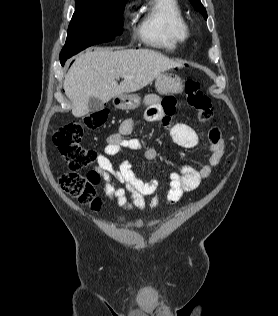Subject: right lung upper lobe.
<instances>
[{"label": "right lung upper lobe", "mask_w": 278, "mask_h": 316, "mask_svg": "<svg viewBox=\"0 0 278 316\" xmlns=\"http://www.w3.org/2000/svg\"><path fill=\"white\" fill-rule=\"evenodd\" d=\"M76 1H80V0H76ZM94 1H120V0H94Z\"/></svg>", "instance_id": "right-lung-upper-lobe-1"}]
</instances>
